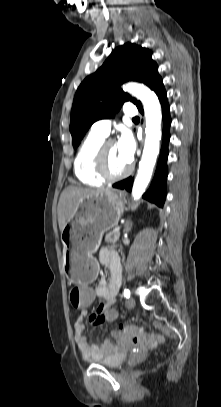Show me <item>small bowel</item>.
<instances>
[{
  "label": "small bowel",
  "instance_id": "small-bowel-1",
  "mask_svg": "<svg viewBox=\"0 0 221 407\" xmlns=\"http://www.w3.org/2000/svg\"><path fill=\"white\" fill-rule=\"evenodd\" d=\"M99 261L102 265L109 268L110 276L108 280L101 277L98 284L94 287L95 298L102 299V303L100 305L92 306L91 310L93 314L90 316L89 320L93 325H101L105 322L103 320L105 306L114 304L120 286L122 273L120 258L115 251L108 248H102L99 252ZM86 315L87 311H81V314L78 316L74 324V341L81 356L86 360H94L116 351L117 348L111 341H106L99 346L87 340L83 334L85 330L84 320ZM122 327L123 326L121 325L120 329ZM112 334L117 339H123L125 337L120 330L113 331Z\"/></svg>",
  "mask_w": 221,
  "mask_h": 407
}]
</instances>
